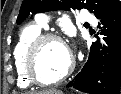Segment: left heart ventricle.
<instances>
[{
    "mask_svg": "<svg viewBox=\"0 0 121 94\" xmlns=\"http://www.w3.org/2000/svg\"><path fill=\"white\" fill-rule=\"evenodd\" d=\"M69 62L68 49L57 41H48L38 50L35 68L42 80L51 81L65 71Z\"/></svg>",
    "mask_w": 121,
    "mask_h": 94,
    "instance_id": "b2bd125f",
    "label": "left heart ventricle"
}]
</instances>
